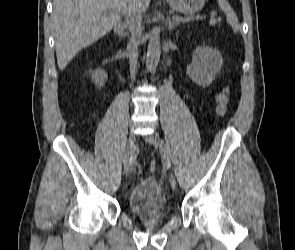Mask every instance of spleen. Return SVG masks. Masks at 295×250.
I'll return each mask as SVG.
<instances>
[{
	"label": "spleen",
	"instance_id": "3e777b00",
	"mask_svg": "<svg viewBox=\"0 0 295 250\" xmlns=\"http://www.w3.org/2000/svg\"><path fill=\"white\" fill-rule=\"evenodd\" d=\"M220 8L225 12L226 18L230 26H232L233 31L237 33L239 31L238 18L226 0H217Z\"/></svg>",
	"mask_w": 295,
	"mask_h": 250
}]
</instances>
